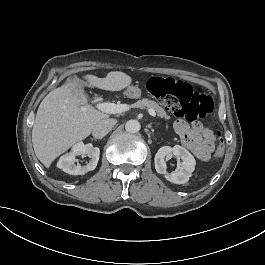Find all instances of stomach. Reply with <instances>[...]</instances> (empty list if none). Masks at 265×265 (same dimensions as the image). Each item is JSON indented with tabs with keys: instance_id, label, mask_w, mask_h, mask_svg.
<instances>
[{
	"instance_id": "1",
	"label": "stomach",
	"mask_w": 265,
	"mask_h": 265,
	"mask_svg": "<svg viewBox=\"0 0 265 265\" xmlns=\"http://www.w3.org/2000/svg\"><path fill=\"white\" fill-rule=\"evenodd\" d=\"M125 95L129 98H139L141 96V90L135 86H129L125 91Z\"/></svg>"
}]
</instances>
